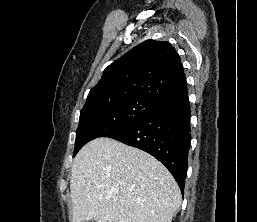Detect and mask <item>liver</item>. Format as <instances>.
<instances>
[{"label":"liver","instance_id":"liver-1","mask_svg":"<svg viewBox=\"0 0 257 222\" xmlns=\"http://www.w3.org/2000/svg\"><path fill=\"white\" fill-rule=\"evenodd\" d=\"M73 222H171L175 179L150 154L107 137L87 143L71 168Z\"/></svg>","mask_w":257,"mask_h":222}]
</instances>
